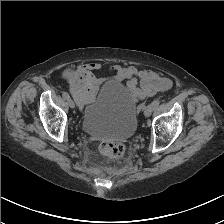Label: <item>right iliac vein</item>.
I'll list each match as a JSON object with an SVG mask.
<instances>
[{
  "instance_id": "right-iliac-vein-1",
  "label": "right iliac vein",
  "mask_w": 224,
  "mask_h": 224,
  "mask_svg": "<svg viewBox=\"0 0 224 224\" xmlns=\"http://www.w3.org/2000/svg\"><path fill=\"white\" fill-rule=\"evenodd\" d=\"M67 102H68V105L70 106V108H72V109L75 108V103L73 102L72 99L69 98V99L67 100Z\"/></svg>"
}]
</instances>
